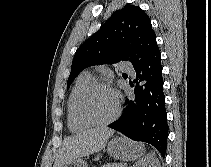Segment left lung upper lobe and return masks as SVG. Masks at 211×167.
Masks as SVG:
<instances>
[{"label":"left lung upper lobe","instance_id":"1","mask_svg":"<svg viewBox=\"0 0 211 167\" xmlns=\"http://www.w3.org/2000/svg\"><path fill=\"white\" fill-rule=\"evenodd\" d=\"M157 47L149 16L138 6L126 5L114 12L100 30L78 48L67 87L88 66L128 60L137 67Z\"/></svg>","mask_w":211,"mask_h":167}]
</instances>
